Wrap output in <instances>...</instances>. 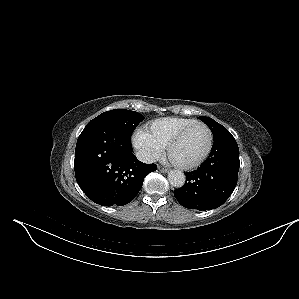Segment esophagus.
Listing matches in <instances>:
<instances>
[{
  "mask_svg": "<svg viewBox=\"0 0 299 299\" xmlns=\"http://www.w3.org/2000/svg\"><path fill=\"white\" fill-rule=\"evenodd\" d=\"M158 170L161 171L162 173H167L168 172V169L164 168L162 166H158Z\"/></svg>",
  "mask_w": 299,
  "mask_h": 299,
  "instance_id": "obj_1",
  "label": "esophagus"
}]
</instances>
